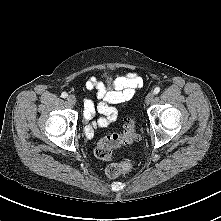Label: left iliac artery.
<instances>
[{"mask_svg":"<svg viewBox=\"0 0 221 221\" xmlns=\"http://www.w3.org/2000/svg\"><path fill=\"white\" fill-rule=\"evenodd\" d=\"M160 92V87H156L155 89H154V94H158Z\"/></svg>","mask_w":221,"mask_h":221,"instance_id":"1","label":"left iliac artery"}]
</instances>
